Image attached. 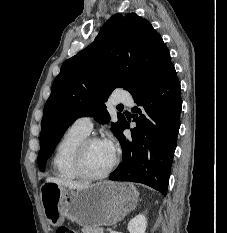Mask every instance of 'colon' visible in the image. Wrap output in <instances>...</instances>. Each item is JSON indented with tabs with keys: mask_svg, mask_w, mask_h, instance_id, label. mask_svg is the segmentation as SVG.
Segmentation results:
<instances>
[{
	"mask_svg": "<svg viewBox=\"0 0 227 233\" xmlns=\"http://www.w3.org/2000/svg\"><path fill=\"white\" fill-rule=\"evenodd\" d=\"M55 233H76V232L67 227H59Z\"/></svg>",
	"mask_w": 227,
	"mask_h": 233,
	"instance_id": "1",
	"label": "colon"
}]
</instances>
